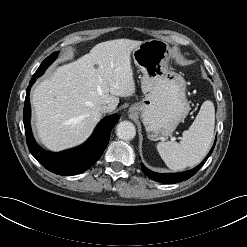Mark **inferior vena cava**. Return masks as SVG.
<instances>
[{"label":"inferior vena cava","mask_w":247,"mask_h":247,"mask_svg":"<svg viewBox=\"0 0 247 247\" xmlns=\"http://www.w3.org/2000/svg\"><path fill=\"white\" fill-rule=\"evenodd\" d=\"M100 111L102 113H108L113 111V107L110 104H103L100 106Z\"/></svg>","instance_id":"inferior-vena-cava-1"}]
</instances>
